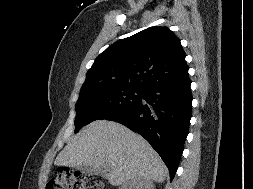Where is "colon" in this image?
<instances>
[{
  "mask_svg": "<svg viewBox=\"0 0 253 189\" xmlns=\"http://www.w3.org/2000/svg\"><path fill=\"white\" fill-rule=\"evenodd\" d=\"M46 189H102V183L83 172L59 168Z\"/></svg>",
  "mask_w": 253,
  "mask_h": 189,
  "instance_id": "5ec220e1",
  "label": "colon"
}]
</instances>
